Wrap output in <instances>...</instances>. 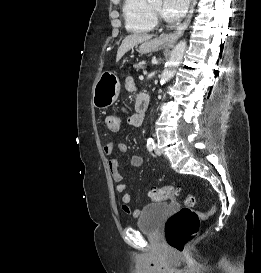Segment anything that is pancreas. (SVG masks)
<instances>
[{
  "mask_svg": "<svg viewBox=\"0 0 261 273\" xmlns=\"http://www.w3.org/2000/svg\"><path fill=\"white\" fill-rule=\"evenodd\" d=\"M145 67V61H140L139 63L134 65V68L138 71L140 69H144Z\"/></svg>",
  "mask_w": 261,
  "mask_h": 273,
  "instance_id": "1",
  "label": "pancreas"
}]
</instances>
